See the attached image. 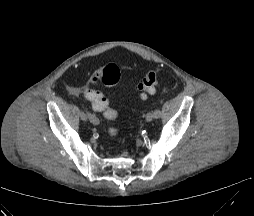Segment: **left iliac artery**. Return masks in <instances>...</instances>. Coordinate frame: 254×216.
Listing matches in <instances>:
<instances>
[{
    "label": "left iliac artery",
    "mask_w": 254,
    "mask_h": 216,
    "mask_svg": "<svg viewBox=\"0 0 254 216\" xmlns=\"http://www.w3.org/2000/svg\"><path fill=\"white\" fill-rule=\"evenodd\" d=\"M161 109L160 108H156L154 111H153V114H154V118H159L161 116Z\"/></svg>",
    "instance_id": "1"
}]
</instances>
